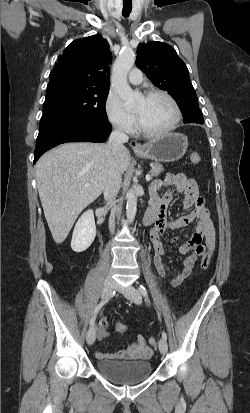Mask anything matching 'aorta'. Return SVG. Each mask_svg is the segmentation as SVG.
Returning <instances> with one entry per match:
<instances>
[{
  "mask_svg": "<svg viewBox=\"0 0 250 413\" xmlns=\"http://www.w3.org/2000/svg\"><path fill=\"white\" fill-rule=\"evenodd\" d=\"M135 54L125 51L117 57L112 70V83L117 94L123 99L126 108H133L141 100L140 92L133 91L127 82V74L135 63ZM126 205V216L129 222H133L136 209L137 197L133 189L128 190Z\"/></svg>",
  "mask_w": 250,
  "mask_h": 413,
  "instance_id": "aorta-1",
  "label": "aorta"
}]
</instances>
